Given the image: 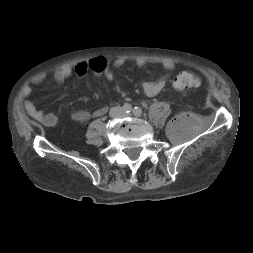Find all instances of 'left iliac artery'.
I'll return each instance as SVG.
<instances>
[{
  "label": "left iliac artery",
  "mask_w": 253,
  "mask_h": 253,
  "mask_svg": "<svg viewBox=\"0 0 253 253\" xmlns=\"http://www.w3.org/2000/svg\"><path fill=\"white\" fill-rule=\"evenodd\" d=\"M133 114H134V116H136V117L141 116V114H142V109H141L140 107H135V108L133 109Z\"/></svg>",
  "instance_id": "1"
}]
</instances>
